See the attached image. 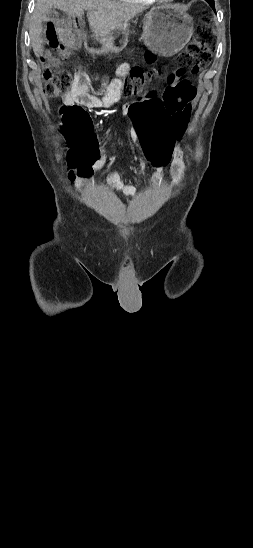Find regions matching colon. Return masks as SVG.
<instances>
[{"mask_svg": "<svg viewBox=\"0 0 253 548\" xmlns=\"http://www.w3.org/2000/svg\"><path fill=\"white\" fill-rule=\"evenodd\" d=\"M53 43L42 58L44 67V92L48 97H60L70 92L73 79L63 68V61L69 57L72 47L69 43ZM213 40L208 25L201 26L194 40L168 67L170 73L164 75L159 88H152L141 98L144 87L152 78V73H144L133 68L121 79L120 92L127 97L130 107L127 119L131 132L143 141L140 144L143 157H148L151 166H166L171 159L172 145L176 137H183L191 111L195 88L190 76L183 72L197 73L211 60ZM63 131L69 143L67 162L72 175L85 176L91 171L90 165L100 155L99 143L92 131L88 113L79 105L64 106L61 109Z\"/></svg>", "mask_w": 253, "mask_h": 548, "instance_id": "1", "label": "colon"}]
</instances>
